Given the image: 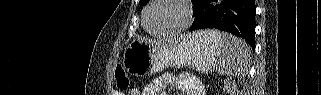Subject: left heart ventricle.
I'll list each match as a JSON object with an SVG mask.
<instances>
[{"label": "left heart ventricle", "instance_id": "b2bd125f", "mask_svg": "<svg viewBox=\"0 0 321 95\" xmlns=\"http://www.w3.org/2000/svg\"><path fill=\"white\" fill-rule=\"evenodd\" d=\"M185 20L183 6L175 0H159L148 11L147 26L156 33L180 27Z\"/></svg>", "mask_w": 321, "mask_h": 95}]
</instances>
